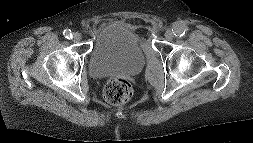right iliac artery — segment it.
Masks as SVG:
<instances>
[{
	"instance_id": "obj_1",
	"label": "right iliac artery",
	"mask_w": 253,
	"mask_h": 143,
	"mask_svg": "<svg viewBox=\"0 0 253 143\" xmlns=\"http://www.w3.org/2000/svg\"><path fill=\"white\" fill-rule=\"evenodd\" d=\"M63 34L67 39L72 38V33L70 29H65Z\"/></svg>"
}]
</instances>
